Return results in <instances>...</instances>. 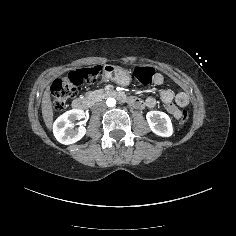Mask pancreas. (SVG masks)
Instances as JSON below:
<instances>
[{
  "label": "pancreas",
  "mask_w": 236,
  "mask_h": 236,
  "mask_svg": "<svg viewBox=\"0 0 236 236\" xmlns=\"http://www.w3.org/2000/svg\"><path fill=\"white\" fill-rule=\"evenodd\" d=\"M106 97V93L104 90H95V91H89L85 94V98L89 103H95L97 101H100Z\"/></svg>",
  "instance_id": "cf45deb5"
}]
</instances>
